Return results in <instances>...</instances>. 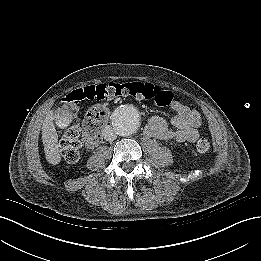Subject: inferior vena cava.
<instances>
[{
  "mask_svg": "<svg viewBox=\"0 0 261 261\" xmlns=\"http://www.w3.org/2000/svg\"><path fill=\"white\" fill-rule=\"evenodd\" d=\"M103 137L106 141L112 142L116 139V133L111 126H106L103 130Z\"/></svg>",
  "mask_w": 261,
  "mask_h": 261,
  "instance_id": "inferior-vena-cava-1",
  "label": "inferior vena cava"
}]
</instances>
